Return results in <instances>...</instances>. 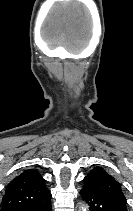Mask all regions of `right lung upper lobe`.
Wrapping results in <instances>:
<instances>
[{
    "instance_id": "1",
    "label": "right lung upper lobe",
    "mask_w": 133,
    "mask_h": 211,
    "mask_svg": "<svg viewBox=\"0 0 133 211\" xmlns=\"http://www.w3.org/2000/svg\"><path fill=\"white\" fill-rule=\"evenodd\" d=\"M45 180L35 169L23 171L6 187L1 211H26L50 197Z\"/></svg>"
}]
</instances>
